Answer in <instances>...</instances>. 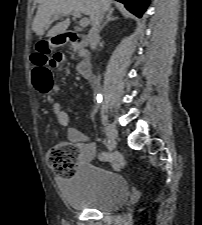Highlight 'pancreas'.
<instances>
[{
  "mask_svg": "<svg viewBox=\"0 0 202 225\" xmlns=\"http://www.w3.org/2000/svg\"><path fill=\"white\" fill-rule=\"evenodd\" d=\"M78 54H79V55L82 54V50H81V49L78 50ZM72 58H74V54H72Z\"/></svg>",
  "mask_w": 202,
  "mask_h": 225,
  "instance_id": "cf45deb5",
  "label": "pancreas"
}]
</instances>
